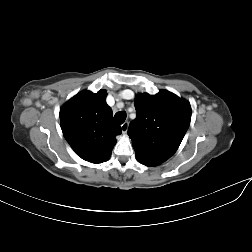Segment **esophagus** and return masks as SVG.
<instances>
[{
	"label": "esophagus",
	"mask_w": 252,
	"mask_h": 252,
	"mask_svg": "<svg viewBox=\"0 0 252 252\" xmlns=\"http://www.w3.org/2000/svg\"><path fill=\"white\" fill-rule=\"evenodd\" d=\"M128 127H129V123H128V122H124V123L121 125L122 133H126V132L128 131Z\"/></svg>",
	"instance_id": "1"
}]
</instances>
